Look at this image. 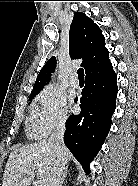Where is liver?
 Returning a JSON list of instances; mask_svg holds the SVG:
<instances>
[{"label": "liver", "mask_w": 138, "mask_h": 186, "mask_svg": "<svg viewBox=\"0 0 138 186\" xmlns=\"http://www.w3.org/2000/svg\"><path fill=\"white\" fill-rule=\"evenodd\" d=\"M71 157V153L66 149L65 164ZM55 161V152L47 141L17 147L9 155L2 186H30L35 173L38 181L48 186Z\"/></svg>", "instance_id": "obj_1"}]
</instances>
